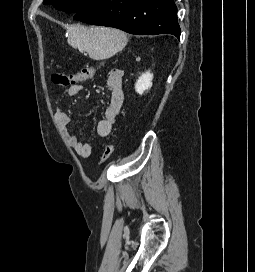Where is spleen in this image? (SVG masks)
Returning <instances> with one entry per match:
<instances>
[{
	"mask_svg": "<svg viewBox=\"0 0 255 272\" xmlns=\"http://www.w3.org/2000/svg\"><path fill=\"white\" fill-rule=\"evenodd\" d=\"M68 43L86 51L90 58L107 59L121 51L127 44L123 31L108 27H86L80 24L68 28Z\"/></svg>",
	"mask_w": 255,
	"mask_h": 272,
	"instance_id": "spleen-1",
	"label": "spleen"
}]
</instances>
